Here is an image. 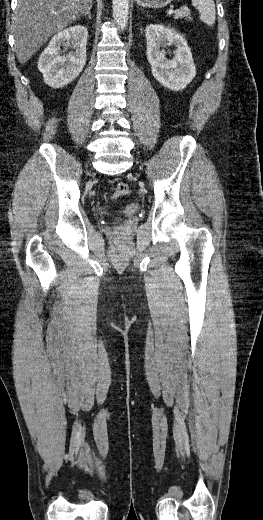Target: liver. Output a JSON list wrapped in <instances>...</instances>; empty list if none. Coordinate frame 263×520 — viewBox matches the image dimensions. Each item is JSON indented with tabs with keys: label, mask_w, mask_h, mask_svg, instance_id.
<instances>
[{
	"label": "liver",
	"mask_w": 263,
	"mask_h": 520,
	"mask_svg": "<svg viewBox=\"0 0 263 520\" xmlns=\"http://www.w3.org/2000/svg\"><path fill=\"white\" fill-rule=\"evenodd\" d=\"M93 0H18L14 12L15 52L25 64L53 34L78 20Z\"/></svg>",
	"instance_id": "1"
}]
</instances>
